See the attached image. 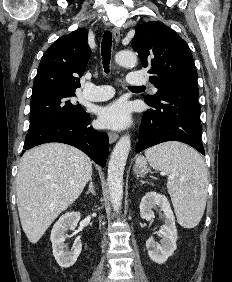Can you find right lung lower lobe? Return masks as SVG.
Returning <instances> with one entry per match:
<instances>
[{
  "mask_svg": "<svg viewBox=\"0 0 232 282\" xmlns=\"http://www.w3.org/2000/svg\"><path fill=\"white\" fill-rule=\"evenodd\" d=\"M89 119V113L83 117L64 116L29 130L23 152L43 143L60 142L82 150L101 167H105L109 150L108 136L89 126Z\"/></svg>",
  "mask_w": 232,
  "mask_h": 282,
  "instance_id": "right-lung-lower-lobe-1",
  "label": "right lung lower lobe"
}]
</instances>
